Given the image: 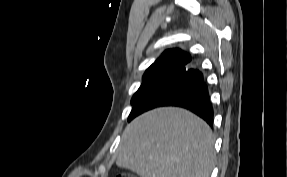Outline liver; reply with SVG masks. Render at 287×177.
<instances>
[{"instance_id":"liver-1","label":"liver","mask_w":287,"mask_h":177,"mask_svg":"<svg viewBox=\"0 0 287 177\" xmlns=\"http://www.w3.org/2000/svg\"><path fill=\"white\" fill-rule=\"evenodd\" d=\"M214 158L206 122L185 109L162 107L126 126L116 164L140 177H209Z\"/></svg>"}]
</instances>
